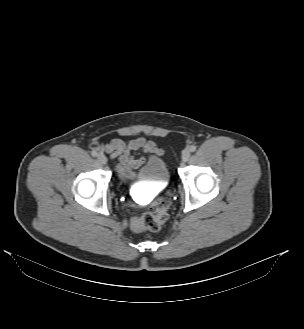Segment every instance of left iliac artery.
Returning <instances> with one entry per match:
<instances>
[{"instance_id":"left-iliac-artery-1","label":"left iliac artery","mask_w":304,"mask_h":329,"mask_svg":"<svg viewBox=\"0 0 304 329\" xmlns=\"http://www.w3.org/2000/svg\"><path fill=\"white\" fill-rule=\"evenodd\" d=\"M190 151L195 152L196 151V146L195 145L190 146Z\"/></svg>"}]
</instances>
